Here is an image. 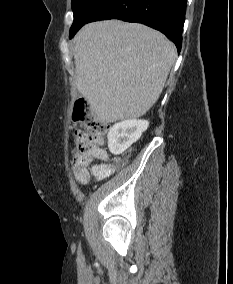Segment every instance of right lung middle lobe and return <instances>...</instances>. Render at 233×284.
<instances>
[{
    "label": "right lung middle lobe",
    "mask_w": 233,
    "mask_h": 284,
    "mask_svg": "<svg viewBox=\"0 0 233 284\" xmlns=\"http://www.w3.org/2000/svg\"><path fill=\"white\" fill-rule=\"evenodd\" d=\"M109 0H72L74 21L70 36L88 22L91 16Z\"/></svg>",
    "instance_id": "1"
}]
</instances>
